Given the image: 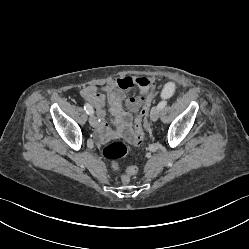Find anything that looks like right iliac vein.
Segmentation results:
<instances>
[{"label": "right iliac vein", "mask_w": 249, "mask_h": 249, "mask_svg": "<svg viewBox=\"0 0 249 249\" xmlns=\"http://www.w3.org/2000/svg\"><path fill=\"white\" fill-rule=\"evenodd\" d=\"M89 123L92 127L97 126V118L93 114H90Z\"/></svg>", "instance_id": "obj_1"}]
</instances>
